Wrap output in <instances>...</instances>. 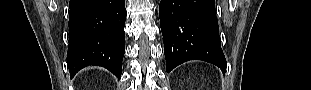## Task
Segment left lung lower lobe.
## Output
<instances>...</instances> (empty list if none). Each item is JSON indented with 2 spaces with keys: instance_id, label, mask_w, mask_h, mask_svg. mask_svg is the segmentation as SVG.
Returning a JSON list of instances; mask_svg holds the SVG:
<instances>
[{
  "instance_id": "1",
  "label": "left lung lower lobe",
  "mask_w": 311,
  "mask_h": 90,
  "mask_svg": "<svg viewBox=\"0 0 311 90\" xmlns=\"http://www.w3.org/2000/svg\"><path fill=\"white\" fill-rule=\"evenodd\" d=\"M159 16L167 72L189 60H203L226 72L215 0H162Z\"/></svg>"
}]
</instances>
